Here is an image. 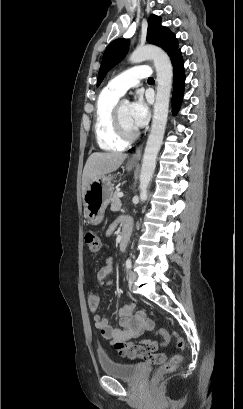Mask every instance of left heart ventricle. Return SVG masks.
Here are the masks:
<instances>
[{
	"label": "left heart ventricle",
	"instance_id": "1",
	"mask_svg": "<svg viewBox=\"0 0 243 409\" xmlns=\"http://www.w3.org/2000/svg\"><path fill=\"white\" fill-rule=\"evenodd\" d=\"M120 119L121 122L124 126V128L132 132L136 130V128L133 126L131 119H130V104L128 102H123L120 108Z\"/></svg>",
	"mask_w": 243,
	"mask_h": 409
}]
</instances>
